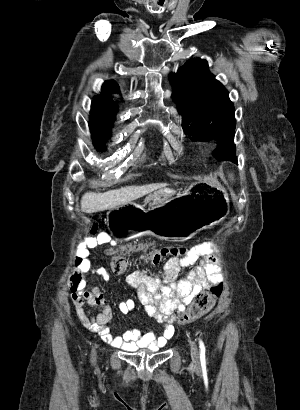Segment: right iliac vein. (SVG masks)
<instances>
[{
    "label": "right iliac vein",
    "instance_id": "1",
    "mask_svg": "<svg viewBox=\"0 0 300 410\" xmlns=\"http://www.w3.org/2000/svg\"><path fill=\"white\" fill-rule=\"evenodd\" d=\"M96 357H97L96 350L93 349V350H92V361H95V360H96Z\"/></svg>",
    "mask_w": 300,
    "mask_h": 410
}]
</instances>
